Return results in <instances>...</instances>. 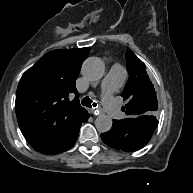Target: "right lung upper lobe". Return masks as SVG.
Returning a JSON list of instances; mask_svg holds the SVG:
<instances>
[{"label":"right lung upper lobe","mask_w":193,"mask_h":193,"mask_svg":"<svg viewBox=\"0 0 193 193\" xmlns=\"http://www.w3.org/2000/svg\"><path fill=\"white\" fill-rule=\"evenodd\" d=\"M89 53L90 48L48 52L22 76L16 115L23 136L35 150L61 145L89 117L75 87Z\"/></svg>","instance_id":"right-lung-upper-lobe-1"}]
</instances>
